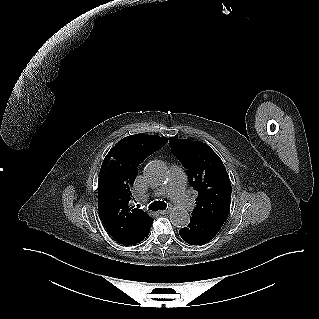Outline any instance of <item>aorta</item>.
Listing matches in <instances>:
<instances>
[{"label": "aorta", "instance_id": "obj_1", "mask_svg": "<svg viewBox=\"0 0 319 319\" xmlns=\"http://www.w3.org/2000/svg\"><path fill=\"white\" fill-rule=\"evenodd\" d=\"M167 166L159 160L151 161L144 170L145 177L153 184H162L168 178ZM170 221L178 228L186 227L190 222V215L186 209H173L170 213Z\"/></svg>", "mask_w": 319, "mask_h": 319}]
</instances>
